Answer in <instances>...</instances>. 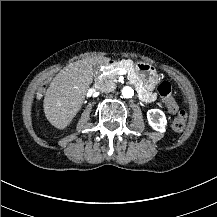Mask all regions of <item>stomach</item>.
Returning a JSON list of instances; mask_svg holds the SVG:
<instances>
[{"instance_id": "obj_1", "label": "stomach", "mask_w": 217, "mask_h": 217, "mask_svg": "<svg viewBox=\"0 0 217 217\" xmlns=\"http://www.w3.org/2000/svg\"><path fill=\"white\" fill-rule=\"evenodd\" d=\"M134 70L142 80L144 88L147 91H153L158 84V75L155 66L145 62H136L134 64Z\"/></svg>"}]
</instances>
